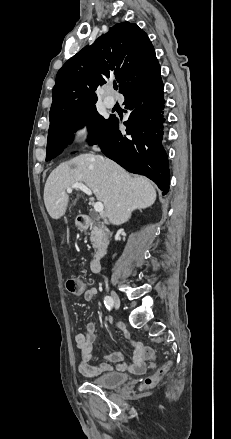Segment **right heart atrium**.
<instances>
[{"instance_id":"right-heart-atrium-1","label":"right heart atrium","mask_w":231,"mask_h":439,"mask_svg":"<svg viewBox=\"0 0 231 439\" xmlns=\"http://www.w3.org/2000/svg\"><path fill=\"white\" fill-rule=\"evenodd\" d=\"M91 134V126L89 123H80L72 131L71 138L75 142L87 139Z\"/></svg>"}]
</instances>
